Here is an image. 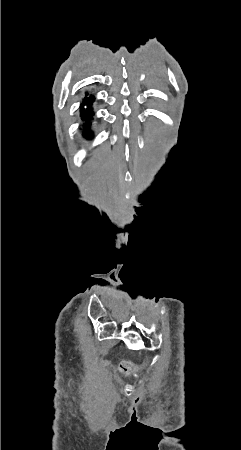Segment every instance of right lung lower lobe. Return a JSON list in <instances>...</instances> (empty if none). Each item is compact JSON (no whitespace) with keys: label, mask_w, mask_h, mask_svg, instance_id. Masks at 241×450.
<instances>
[{"label":"right lung lower lobe","mask_w":241,"mask_h":450,"mask_svg":"<svg viewBox=\"0 0 241 450\" xmlns=\"http://www.w3.org/2000/svg\"><path fill=\"white\" fill-rule=\"evenodd\" d=\"M95 100V97L93 95H88L86 94V96L83 98L82 100V104L80 105V116L81 119L85 122L83 124V135L87 138V139H91L92 134L90 131V120L92 119V116L94 114L93 109H92V104Z\"/></svg>","instance_id":"98d812e1"}]
</instances>
